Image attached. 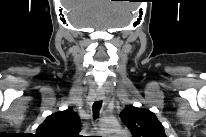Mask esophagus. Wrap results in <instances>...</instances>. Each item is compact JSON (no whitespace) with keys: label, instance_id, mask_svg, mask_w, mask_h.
I'll return each instance as SVG.
<instances>
[{"label":"esophagus","instance_id":"obj_1","mask_svg":"<svg viewBox=\"0 0 206 137\" xmlns=\"http://www.w3.org/2000/svg\"><path fill=\"white\" fill-rule=\"evenodd\" d=\"M104 94L102 93V92H98L97 94H96V100H98V101H101V100H103L104 99Z\"/></svg>","mask_w":206,"mask_h":137}]
</instances>
